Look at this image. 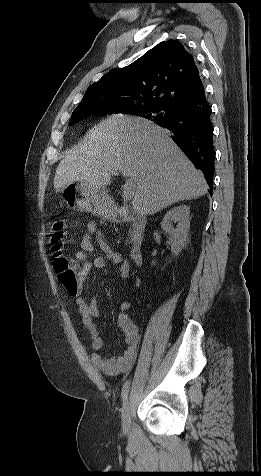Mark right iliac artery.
Listing matches in <instances>:
<instances>
[{"instance_id": "82829eb1", "label": "right iliac artery", "mask_w": 261, "mask_h": 476, "mask_svg": "<svg viewBox=\"0 0 261 476\" xmlns=\"http://www.w3.org/2000/svg\"><path fill=\"white\" fill-rule=\"evenodd\" d=\"M129 386H130V382L129 381H126L125 384L123 385L122 387V400H126L127 399V396H128V392H129Z\"/></svg>"}]
</instances>
